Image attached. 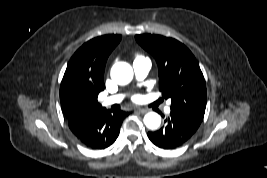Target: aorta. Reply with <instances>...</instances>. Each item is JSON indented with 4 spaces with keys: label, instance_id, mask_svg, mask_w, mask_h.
<instances>
[{
    "label": "aorta",
    "instance_id": "1",
    "mask_svg": "<svg viewBox=\"0 0 267 178\" xmlns=\"http://www.w3.org/2000/svg\"><path fill=\"white\" fill-rule=\"evenodd\" d=\"M111 78L119 85H126L133 79V69L126 62H117L111 68ZM144 124L154 130L161 124V117L155 112H149L144 116Z\"/></svg>",
    "mask_w": 267,
    "mask_h": 178
}]
</instances>
